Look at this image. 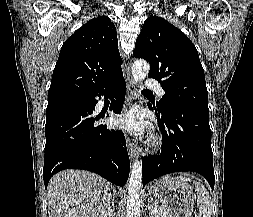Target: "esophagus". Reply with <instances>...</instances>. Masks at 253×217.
Wrapping results in <instances>:
<instances>
[{
    "mask_svg": "<svg viewBox=\"0 0 253 217\" xmlns=\"http://www.w3.org/2000/svg\"><path fill=\"white\" fill-rule=\"evenodd\" d=\"M136 98H137V92H136L135 82L132 79V77L129 76L128 82H127V103L126 104L129 106ZM127 146H128V154L130 156V159L133 160L137 154V147L130 140V138H127Z\"/></svg>",
    "mask_w": 253,
    "mask_h": 217,
    "instance_id": "obj_1",
    "label": "esophagus"
}]
</instances>
